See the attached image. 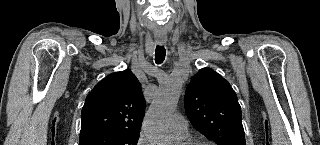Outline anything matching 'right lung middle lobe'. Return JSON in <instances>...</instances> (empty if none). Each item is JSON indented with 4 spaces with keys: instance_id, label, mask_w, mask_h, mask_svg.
<instances>
[{
    "instance_id": "right-lung-middle-lobe-1",
    "label": "right lung middle lobe",
    "mask_w": 320,
    "mask_h": 145,
    "mask_svg": "<svg viewBox=\"0 0 320 145\" xmlns=\"http://www.w3.org/2000/svg\"><path fill=\"white\" fill-rule=\"evenodd\" d=\"M139 132H104L80 137V145H137Z\"/></svg>"
}]
</instances>
